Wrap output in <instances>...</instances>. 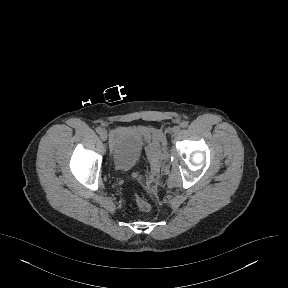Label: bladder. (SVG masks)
Here are the masks:
<instances>
[{"instance_id":"1","label":"bladder","mask_w":288,"mask_h":288,"mask_svg":"<svg viewBox=\"0 0 288 288\" xmlns=\"http://www.w3.org/2000/svg\"><path fill=\"white\" fill-rule=\"evenodd\" d=\"M151 150L147 131L138 127H117L110 132L109 156L114 168L132 170L144 152Z\"/></svg>"}]
</instances>
